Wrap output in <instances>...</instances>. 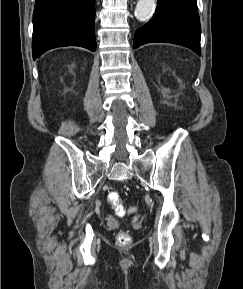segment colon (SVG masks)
<instances>
[{"label":"colon","mask_w":243,"mask_h":289,"mask_svg":"<svg viewBox=\"0 0 243 289\" xmlns=\"http://www.w3.org/2000/svg\"><path fill=\"white\" fill-rule=\"evenodd\" d=\"M108 202L118 216H123L126 213L122 199L117 192L109 193ZM117 241L121 245H127L131 242V236L125 231H120L117 235Z\"/></svg>","instance_id":"5ec220e1"}]
</instances>
